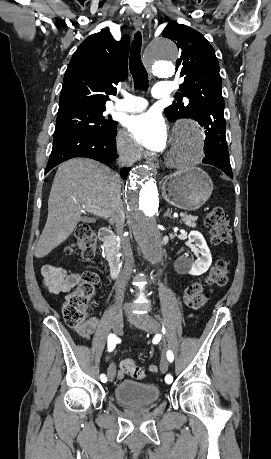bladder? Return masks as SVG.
<instances>
[{"mask_svg":"<svg viewBox=\"0 0 271 459\" xmlns=\"http://www.w3.org/2000/svg\"><path fill=\"white\" fill-rule=\"evenodd\" d=\"M160 390L156 385L139 384L133 381L119 383L113 392L115 403L122 405H151L157 402Z\"/></svg>","mask_w":271,"mask_h":459,"instance_id":"31cf9c89","label":"bladder"}]
</instances>
